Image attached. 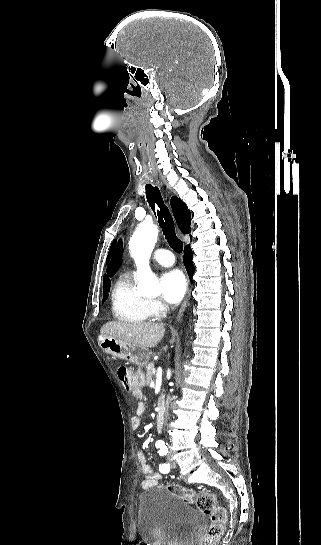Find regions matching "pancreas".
Wrapping results in <instances>:
<instances>
[{
	"label": "pancreas",
	"mask_w": 321,
	"mask_h": 545,
	"mask_svg": "<svg viewBox=\"0 0 321 545\" xmlns=\"http://www.w3.org/2000/svg\"><path fill=\"white\" fill-rule=\"evenodd\" d=\"M145 369H146V383H147V385H149V383H152L154 363H148V365H146Z\"/></svg>",
	"instance_id": "1"
}]
</instances>
